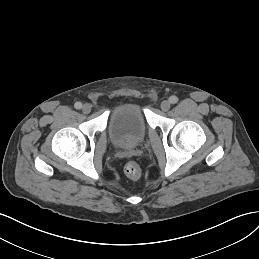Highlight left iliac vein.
I'll use <instances>...</instances> for the list:
<instances>
[{"instance_id":"obj_1","label":"left iliac vein","mask_w":259,"mask_h":259,"mask_svg":"<svg viewBox=\"0 0 259 259\" xmlns=\"http://www.w3.org/2000/svg\"><path fill=\"white\" fill-rule=\"evenodd\" d=\"M170 102L169 101H167V100H164V101H162L161 102V105H160V107H161V109L163 110V111H168L169 109H170Z\"/></svg>"}]
</instances>
